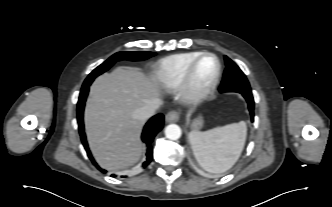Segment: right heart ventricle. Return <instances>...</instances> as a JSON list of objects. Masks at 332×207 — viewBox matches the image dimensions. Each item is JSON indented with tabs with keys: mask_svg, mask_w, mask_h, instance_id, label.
I'll return each instance as SVG.
<instances>
[{
	"mask_svg": "<svg viewBox=\"0 0 332 207\" xmlns=\"http://www.w3.org/2000/svg\"><path fill=\"white\" fill-rule=\"evenodd\" d=\"M200 54L202 52L192 51L173 54L161 59L155 67V74L161 85L170 90L179 87L188 67Z\"/></svg>",
	"mask_w": 332,
	"mask_h": 207,
	"instance_id": "1",
	"label": "right heart ventricle"
}]
</instances>
